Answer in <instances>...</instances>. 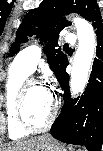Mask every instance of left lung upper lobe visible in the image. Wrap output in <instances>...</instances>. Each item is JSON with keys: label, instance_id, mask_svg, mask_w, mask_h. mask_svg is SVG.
Wrapping results in <instances>:
<instances>
[{"label": "left lung upper lobe", "instance_id": "obj_1", "mask_svg": "<svg viewBox=\"0 0 103 151\" xmlns=\"http://www.w3.org/2000/svg\"><path fill=\"white\" fill-rule=\"evenodd\" d=\"M66 13H78L92 21L94 28L103 30V20L95 0H44L38 8L30 10L25 15L16 32L17 38L11 45L9 56L20 50L21 43L28 41L27 36L38 34L37 37L41 38L42 42L48 40L43 51L51 70L57 76L67 62V56L60 49H56L59 32L71 25L63 18Z\"/></svg>", "mask_w": 103, "mask_h": 151}]
</instances>
